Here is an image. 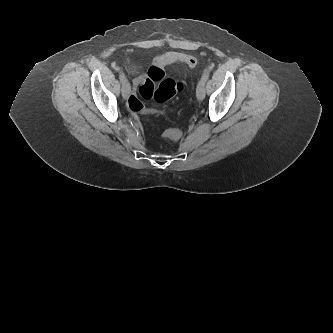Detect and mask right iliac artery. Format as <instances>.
Returning a JSON list of instances; mask_svg holds the SVG:
<instances>
[{
    "label": "right iliac artery",
    "mask_w": 333,
    "mask_h": 333,
    "mask_svg": "<svg viewBox=\"0 0 333 333\" xmlns=\"http://www.w3.org/2000/svg\"><path fill=\"white\" fill-rule=\"evenodd\" d=\"M119 79H120L122 85L125 84V83H128L127 80H126L125 74L123 72L119 73Z\"/></svg>",
    "instance_id": "1"
}]
</instances>
